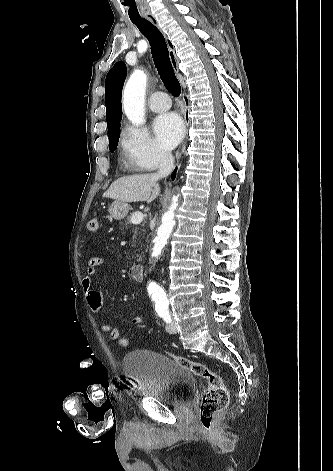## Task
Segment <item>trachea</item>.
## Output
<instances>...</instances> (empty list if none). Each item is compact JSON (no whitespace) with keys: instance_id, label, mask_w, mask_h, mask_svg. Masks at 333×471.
Returning a JSON list of instances; mask_svg holds the SVG:
<instances>
[{"instance_id":"1","label":"trachea","mask_w":333,"mask_h":471,"mask_svg":"<svg viewBox=\"0 0 333 471\" xmlns=\"http://www.w3.org/2000/svg\"><path fill=\"white\" fill-rule=\"evenodd\" d=\"M140 32L148 39L155 67L166 89L174 96L181 93L180 83L174 73L168 48L162 33L146 19L132 20Z\"/></svg>"}]
</instances>
